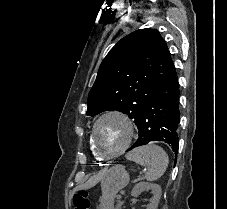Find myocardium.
I'll return each mask as SVG.
<instances>
[{
	"instance_id": "obj_1",
	"label": "myocardium",
	"mask_w": 227,
	"mask_h": 209,
	"mask_svg": "<svg viewBox=\"0 0 227 209\" xmlns=\"http://www.w3.org/2000/svg\"><path fill=\"white\" fill-rule=\"evenodd\" d=\"M108 116H116L120 119H122L126 124L127 126L129 127V137L125 143V145H123L120 149H118L117 151H114V152H110V153H107V154H102L98 147H97V144H96V140H95V130H96V127L98 125V123L104 119L105 117H108ZM135 135V128L133 126V123L130 119V117L124 113L123 111L121 110H117V109H110V110H107L105 111L104 113H102L93 123L92 125V128H91V133H90V142H91V145L97 155V157L99 159H103V160H107V159H112V158H115L117 156H119L120 154L123 153V151L127 148V146L131 143L132 141V138L134 137Z\"/></svg>"
}]
</instances>
